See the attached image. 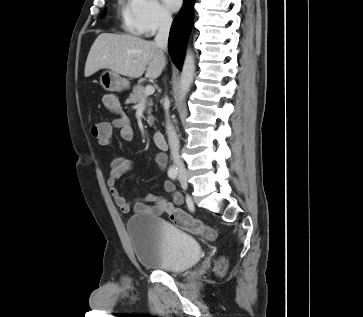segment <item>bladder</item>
<instances>
[{
  "instance_id": "31cf9c89",
  "label": "bladder",
  "mask_w": 363,
  "mask_h": 317,
  "mask_svg": "<svg viewBox=\"0 0 363 317\" xmlns=\"http://www.w3.org/2000/svg\"><path fill=\"white\" fill-rule=\"evenodd\" d=\"M126 231L137 261L144 268L180 273L201 259V244L194 236L157 216L133 215Z\"/></svg>"
}]
</instances>
